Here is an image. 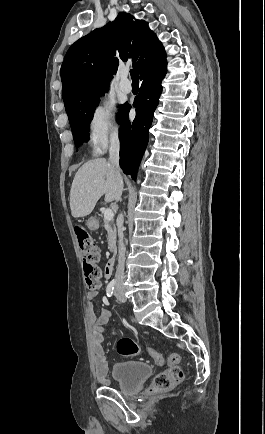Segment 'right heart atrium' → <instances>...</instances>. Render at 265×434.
Segmentation results:
<instances>
[{"mask_svg":"<svg viewBox=\"0 0 265 434\" xmlns=\"http://www.w3.org/2000/svg\"><path fill=\"white\" fill-rule=\"evenodd\" d=\"M118 104L112 101L109 106H99L96 112L99 115H90L87 121L86 142L90 145L88 151L99 157L103 148H123L125 142L119 139L122 125L116 114ZM115 131V132H110Z\"/></svg>","mask_w":265,"mask_h":434,"instance_id":"right-heart-atrium-1","label":"right heart atrium"}]
</instances>
